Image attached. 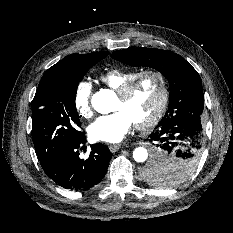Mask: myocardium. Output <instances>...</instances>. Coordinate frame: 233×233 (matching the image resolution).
<instances>
[{
    "instance_id": "f54148a6",
    "label": "myocardium",
    "mask_w": 233,
    "mask_h": 233,
    "mask_svg": "<svg viewBox=\"0 0 233 233\" xmlns=\"http://www.w3.org/2000/svg\"><path fill=\"white\" fill-rule=\"evenodd\" d=\"M154 77L159 85V101L154 112L146 120L135 123V127L139 130H148L155 126L164 115L169 103V86L166 76L163 72L156 69H145L136 73L133 77L123 83L117 90V96L127 98L136 84L144 77Z\"/></svg>"
}]
</instances>
